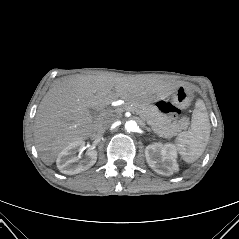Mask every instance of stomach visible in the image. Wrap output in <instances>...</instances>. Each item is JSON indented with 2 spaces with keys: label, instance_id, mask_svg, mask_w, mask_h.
Masks as SVG:
<instances>
[{
  "label": "stomach",
  "instance_id": "1",
  "mask_svg": "<svg viewBox=\"0 0 239 239\" xmlns=\"http://www.w3.org/2000/svg\"><path fill=\"white\" fill-rule=\"evenodd\" d=\"M189 101L190 88L183 84L176 88L172 99L157 98L154 100L160 106L161 117L169 123H180L186 118V105Z\"/></svg>",
  "mask_w": 239,
  "mask_h": 239
}]
</instances>
